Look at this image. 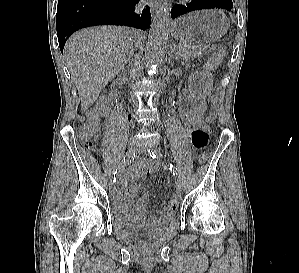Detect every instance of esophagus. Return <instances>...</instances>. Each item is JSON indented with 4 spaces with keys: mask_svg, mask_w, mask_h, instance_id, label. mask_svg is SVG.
Wrapping results in <instances>:
<instances>
[{
    "mask_svg": "<svg viewBox=\"0 0 299 273\" xmlns=\"http://www.w3.org/2000/svg\"><path fill=\"white\" fill-rule=\"evenodd\" d=\"M161 6H162V4L160 2H158L157 0H152L150 2V9H151L152 13H156V11L161 8Z\"/></svg>",
    "mask_w": 299,
    "mask_h": 273,
    "instance_id": "obj_1",
    "label": "esophagus"
}]
</instances>
